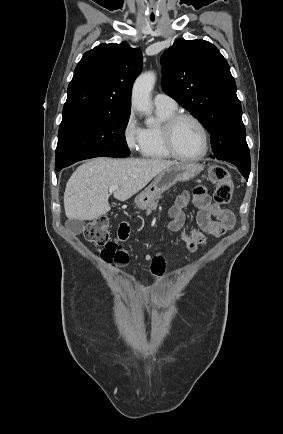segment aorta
<instances>
[{"label": "aorta", "mask_w": 283, "mask_h": 434, "mask_svg": "<svg viewBox=\"0 0 283 434\" xmlns=\"http://www.w3.org/2000/svg\"><path fill=\"white\" fill-rule=\"evenodd\" d=\"M156 81L154 72L141 74L135 81L132 89L131 103L139 112H150L152 109L151 91ZM153 119L149 125L153 124Z\"/></svg>", "instance_id": "762f6f07"}]
</instances>
